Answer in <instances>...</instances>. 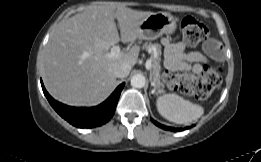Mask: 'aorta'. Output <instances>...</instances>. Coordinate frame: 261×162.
Masks as SVG:
<instances>
[{
	"label": "aorta",
	"instance_id": "762f6f07",
	"mask_svg": "<svg viewBox=\"0 0 261 162\" xmlns=\"http://www.w3.org/2000/svg\"><path fill=\"white\" fill-rule=\"evenodd\" d=\"M145 83V77L141 74H136L131 78V86L134 88H143Z\"/></svg>",
	"mask_w": 261,
	"mask_h": 162
}]
</instances>
